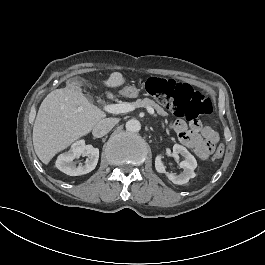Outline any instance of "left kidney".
<instances>
[{
	"label": "left kidney",
	"mask_w": 265,
	"mask_h": 265,
	"mask_svg": "<svg viewBox=\"0 0 265 265\" xmlns=\"http://www.w3.org/2000/svg\"><path fill=\"white\" fill-rule=\"evenodd\" d=\"M173 154L181 155L183 161L180 163V168L183 172L180 174L166 172L165 162L163 161L166 149H162L155 157V169L158 173H164L167 179L174 184H185L190 178L195 176L194 170L197 166L196 159L194 156L183 146L175 144L173 146Z\"/></svg>",
	"instance_id": "1"
}]
</instances>
